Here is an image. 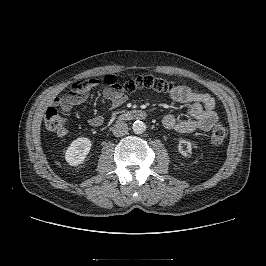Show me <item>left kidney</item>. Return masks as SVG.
Instances as JSON below:
<instances>
[{
  "mask_svg": "<svg viewBox=\"0 0 266 266\" xmlns=\"http://www.w3.org/2000/svg\"><path fill=\"white\" fill-rule=\"evenodd\" d=\"M185 148V149H184ZM178 150L184 157H189L191 155V144L186 140H180L178 144Z\"/></svg>",
  "mask_w": 266,
  "mask_h": 266,
  "instance_id": "obj_1",
  "label": "left kidney"
}]
</instances>
